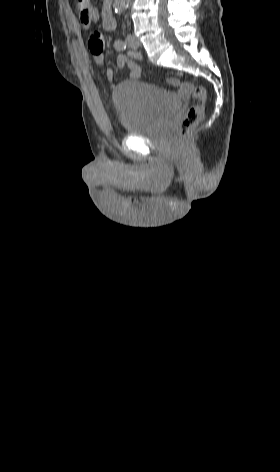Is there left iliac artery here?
Listing matches in <instances>:
<instances>
[{"mask_svg":"<svg viewBox=\"0 0 280 472\" xmlns=\"http://www.w3.org/2000/svg\"><path fill=\"white\" fill-rule=\"evenodd\" d=\"M114 47L116 50H124L126 48L125 43L122 40H117L114 43Z\"/></svg>","mask_w":280,"mask_h":472,"instance_id":"left-iliac-artery-1","label":"left iliac artery"}]
</instances>
